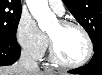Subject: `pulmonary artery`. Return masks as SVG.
Returning <instances> with one entry per match:
<instances>
[{"label": "pulmonary artery", "instance_id": "1", "mask_svg": "<svg viewBox=\"0 0 102 75\" xmlns=\"http://www.w3.org/2000/svg\"><path fill=\"white\" fill-rule=\"evenodd\" d=\"M49 6L58 14H64V3L61 0H48Z\"/></svg>", "mask_w": 102, "mask_h": 75}]
</instances>
